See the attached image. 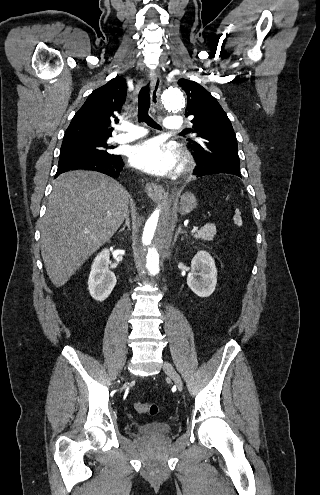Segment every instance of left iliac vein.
<instances>
[{
	"label": "left iliac vein",
	"mask_w": 320,
	"mask_h": 495,
	"mask_svg": "<svg viewBox=\"0 0 320 495\" xmlns=\"http://www.w3.org/2000/svg\"><path fill=\"white\" fill-rule=\"evenodd\" d=\"M163 370L168 375L175 385L178 387V389L183 388V383L180 375L177 373V371L174 369V367L167 361L163 363Z\"/></svg>",
	"instance_id": "1"
}]
</instances>
